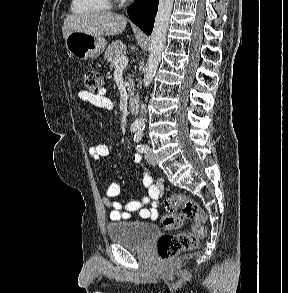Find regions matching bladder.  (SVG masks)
Masks as SVG:
<instances>
[{
    "label": "bladder",
    "mask_w": 288,
    "mask_h": 293,
    "mask_svg": "<svg viewBox=\"0 0 288 293\" xmlns=\"http://www.w3.org/2000/svg\"><path fill=\"white\" fill-rule=\"evenodd\" d=\"M109 239L127 249H143L158 234V228L146 222H114L106 226Z\"/></svg>",
    "instance_id": "bladder-1"
}]
</instances>
